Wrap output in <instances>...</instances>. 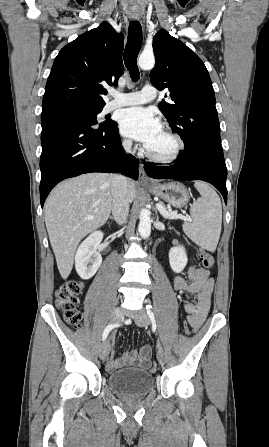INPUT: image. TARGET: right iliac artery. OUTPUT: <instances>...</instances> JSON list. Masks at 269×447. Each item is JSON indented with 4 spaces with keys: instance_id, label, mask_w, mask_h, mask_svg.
<instances>
[{
    "instance_id": "82829eb1",
    "label": "right iliac artery",
    "mask_w": 269,
    "mask_h": 447,
    "mask_svg": "<svg viewBox=\"0 0 269 447\" xmlns=\"http://www.w3.org/2000/svg\"><path fill=\"white\" fill-rule=\"evenodd\" d=\"M116 326H119V325L118 324H110L104 329L103 335H102L103 340H105L107 338L109 332Z\"/></svg>"
}]
</instances>
